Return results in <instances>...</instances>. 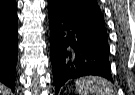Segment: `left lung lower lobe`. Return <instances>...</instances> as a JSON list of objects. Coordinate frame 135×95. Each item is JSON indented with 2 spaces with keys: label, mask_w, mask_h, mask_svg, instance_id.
I'll return each mask as SVG.
<instances>
[{
  "label": "left lung lower lobe",
  "mask_w": 135,
  "mask_h": 95,
  "mask_svg": "<svg viewBox=\"0 0 135 95\" xmlns=\"http://www.w3.org/2000/svg\"><path fill=\"white\" fill-rule=\"evenodd\" d=\"M48 18L56 94L67 80L81 76L98 75L113 82L105 27L68 17L50 6Z\"/></svg>",
  "instance_id": "obj_1"
}]
</instances>
